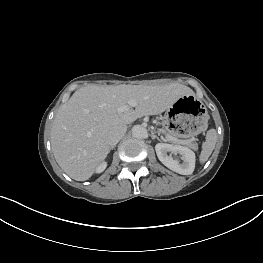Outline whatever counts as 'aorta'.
Wrapping results in <instances>:
<instances>
[{"instance_id":"762f6f07","label":"aorta","mask_w":263,"mask_h":263,"mask_svg":"<svg viewBox=\"0 0 263 263\" xmlns=\"http://www.w3.org/2000/svg\"><path fill=\"white\" fill-rule=\"evenodd\" d=\"M132 136L136 139H143L147 136V130L142 125H135L132 128Z\"/></svg>"}]
</instances>
